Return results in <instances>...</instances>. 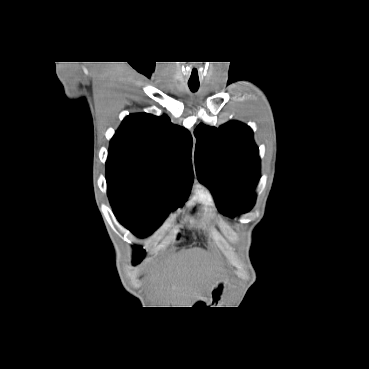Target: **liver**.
Wrapping results in <instances>:
<instances>
[{"instance_id": "liver-1", "label": "liver", "mask_w": 369, "mask_h": 369, "mask_svg": "<svg viewBox=\"0 0 369 369\" xmlns=\"http://www.w3.org/2000/svg\"><path fill=\"white\" fill-rule=\"evenodd\" d=\"M213 271L214 260L204 250L191 249L181 252L169 260L161 270H155L151 274L158 304L175 305L179 298L209 282Z\"/></svg>"}]
</instances>
